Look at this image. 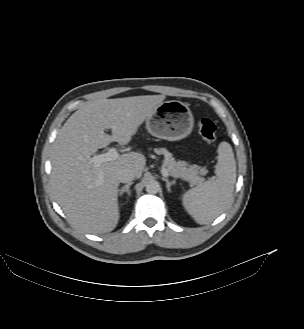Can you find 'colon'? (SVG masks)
Returning a JSON list of instances; mask_svg holds the SVG:
<instances>
[{"mask_svg":"<svg viewBox=\"0 0 304 329\" xmlns=\"http://www.w3.org/2000/svg\"><path fill=\"white\" fill-rule=\"evenodd\" d=\"M198 130L206 142L215 143L217 141L216 126L209 118H201L198 121Z\"/></svg>","mask_w":304,"mask_h":329,"instance_id":"1","label":"colon"}]
</instances>
